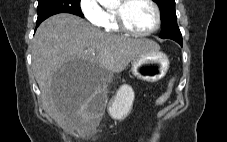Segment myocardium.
I'll list each match as a JSON object with an SVG mask.
<instances>
[{"label":"myocardium","instance_id":"myocardium-1","mask_svg":"<svg viewBox=\"0 0 227 142\" xmlns=\"http://www.w3.org/2000/svg\"><path fill=\"white\" fill-rule=\"evenodd\" d=\"M132 0H120V4L117 8L113 10V14L115 17V21L119 29L127 34H130L132 36L136 37H147L154 33H156L162 23V14L159 5L155 0H146L154 9L155 16H156V22L152 29L146 31V32H138L133 30L127 23L125 18V8L126 6L131 2Z\"/></svg>","mask_w":227,"mask_h":142}]
</instances>
